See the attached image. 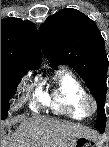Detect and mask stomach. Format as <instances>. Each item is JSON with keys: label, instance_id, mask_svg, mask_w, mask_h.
<instances>
[{"label": "stomach", "instance_id": "1", "mask_svg": "<svg viewBox=\"0 0 109 147\" xmlns=\"http://www.w3.org/2000/svg\"><path fill=\"white\" fill-rule=\"evenodd\" d=\"M79 147H102L101 144L95 139L88 138V137H78L75 140V146Z\"/></svg>", "mask_w": 109, "mask_h": 147}]
</instances>
